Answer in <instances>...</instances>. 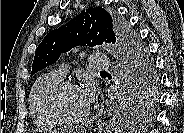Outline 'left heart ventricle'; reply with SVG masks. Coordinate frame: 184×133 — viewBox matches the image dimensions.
I'll return each mask as SVG.
<instances>
[{"label":"left heart ventricle","mask_w":184,"mask_h":133,"mask_svg":"<svg viewBox=\"0 0 184 133\" xmlns=\"http://www.w3.org/2000/svg\"><path fill=\"white\" fill-rule=\"evenodd\" d=\"M59 107L63 115L71 119L82 117L89 109L79 88L66 89L60 96Z\"/></svg>","instance_id":"b2bd125f"}]
</instances>
